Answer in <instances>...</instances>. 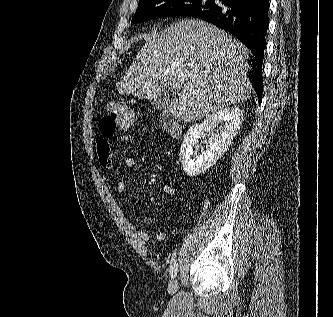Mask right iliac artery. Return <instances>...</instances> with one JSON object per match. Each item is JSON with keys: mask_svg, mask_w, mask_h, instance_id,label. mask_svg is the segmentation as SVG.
I'll use <instances>...</instances> for the list:
<instances>
[{"mask_svg": "<svg viewBox=\"0 0 333 317\" xmlns=\"http://www.w3.org/2000/svg\"><path fill=\"white\" fill-rule=\"evenodd\" d=\"M176 252L173 253L172 259H171V266H170V276L171 278H174L177 274L178 268H177V262H176Z\"/></svg>", "mask_w": 333, "mask_h": 317, "instance_id": "obj_1", "label": "right iliac artery"}]
</instances>
